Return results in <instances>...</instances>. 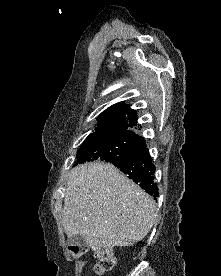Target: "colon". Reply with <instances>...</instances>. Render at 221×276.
<instances>
[{"mask_svg":"<svg viewBox=\"0 0 221 276\" xmlns=\"http://www.w3.org/2000/svg\"><path fill=\"white\" fill-rule=\"evenodd\" d=\"M91 249L97 258V263L94 267V272L97 275H102L105 271L112 269L116 264V258L112 250L107 246H92L86 245H71L68 247L69 253L74 258H79Z\"/></svg>","mask_w":221,"mask_h":276,"instance_id":"colon-1","label":"colon"}]
</instances>
